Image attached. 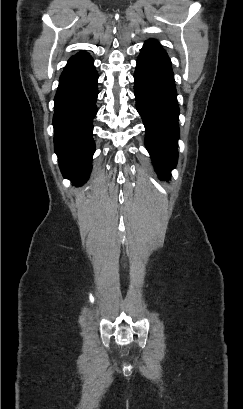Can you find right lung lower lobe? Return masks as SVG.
Returning <instances> with one entry per match:
<instances>
[{
  "mask_svg": "<svg viewBox=\"0 0 243 409\" xmlns=\"http://www.w3.org/2000/svg\"><path fill=\"white\" fill-rule=\"evenodd\" d=\"M87 52L72 56L59 79L54 98V149L64 178L83 184L91 172L95 143L98 74Z\"/></svg>",
  "mask_w": 243,
  "mask_h": 409,
  "instance_id": "98d812e1",
  "label": "right lung lower lobe"
}]
</instances>
